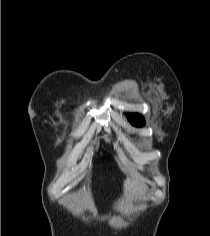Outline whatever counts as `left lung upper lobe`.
I'll use <instances>...</instances> for the list:
<instances>
[{
	"mask_svg": "<svg viewBox=\"0 0 210 236\" xmlns=\"http://www.w3.org/2000/svg\"><path fill=\"white\" fill-rule=\"evenodd\" d=\"M128 119L132 123V125L140 127L144 124V118L137 113L128 114Z\"/></svg>",
	"mask_w": 210,
	"mask_h": 236,
	"instance_id": "1",
	"label": "left lung upper lobe"
}]
</instances>
